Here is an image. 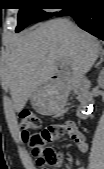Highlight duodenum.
<instances>
[{
  "label": "duodenum",
  "mask_w": 104,
  "mask_h": 169,
  "mask_svg": "<svg viewBox=\"0 0 104 169\" xmlns=\"http://www.w3.org/2000/svg\"><path fill=\"white\" fill-rule=\"evenodd\" d=\"M63 76L57 74L52 77L54 80L61 79ZM74 92L77 94L80 102L78 116L85 120L88 117V111L92 105V93L90 91V83L86 79H80L75 83Z\"/></svg>",
  "instance_id": "obj_1"
}]
</instances>
